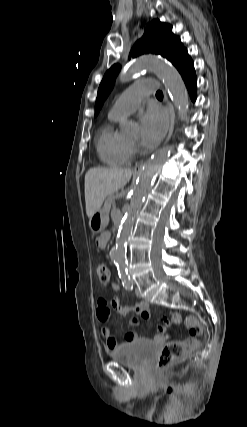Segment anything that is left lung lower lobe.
<instances>
[{
  "label": "left lung lower lobe",
  "mask_w": 247,
  "mask_h": 427,
  "mask_svg": "<svg viewBox=\"0 0 247 427\" xmlns=\"http://www.w3.org/2000/svg\"><path fill=\"white\" fill-rule=\"evenodd\" d=\"M177 70L181 74L186 87L189 91L192 101L196 100V88H197V78L194 70V63L191 58H188L183 63H181Z\"/></svg>",
  "instance_id": "obj_1"
}]
</instances>
